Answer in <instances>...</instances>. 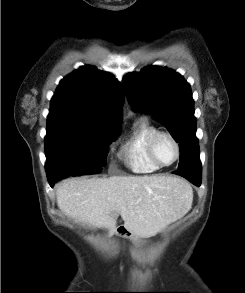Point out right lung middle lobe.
I'll use <instances>...</instances> for the list:
<instances>
[{"mask_svg":"<svg viewBox=\"0 0 245 293\" xmlns=\"http://www.w3.org/2000/svg\"><path fill=\"white\" fill-rule=\"evenodd\" d=\"M118 128L47 120L45 169L48 181L100 173L106 162L107 146L117 137Z\"/></svg>","mask_w":245,"mask_h":293,"instance_id":"1","label":"right lung middle lobe"}]
</instances>
